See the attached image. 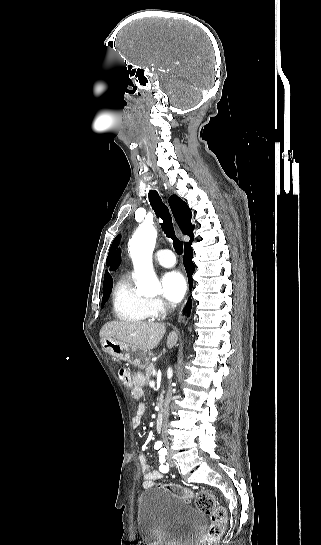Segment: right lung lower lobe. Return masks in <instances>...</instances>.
Wrapping results in <instances>:
<instances>
[{"label": "right lung lower lobe", "mask_w": 321, "mask_h": 545, "mask_svg": "<svg viewBox=\"0 0 321 545\" xmlns=\"http://www.w3.org/2000/svg\"><path fill=\"white\" fill-rule=\"evenodd\" d=\"M193 240H194V235H191L190 236V241L185 244L184 258H183V263H184V266H185V269H186V272H187L190 288H192V285H193L192 275L194 273V264L192 262L193 250H192V247H191V243H192ZM187 308L188 309L191 308V299L188 300Z\"/></svg>", "instance_id": "obj_1"}]
</instances>
